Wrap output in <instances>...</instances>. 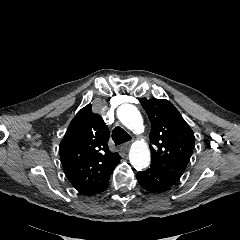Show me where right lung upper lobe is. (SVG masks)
Instances as JSON below:
<instances>
[{"instance_id":"cb5924a9","label":"right lung upper lobe","mask_w":240,"mask_h":240,"mask_svg":"<svg viewBox=\"0 0 240 240\" xmlns=\"http://www.w3.org/2000/svg\"><path fill=\"white\" fill-rule=\"evenodd\" d=\"M82 108L71 121L59 150L65 175L80 193L94 195L120 162L108 147L109 130L102 118Z\"/></svg>"}]
</instances>
